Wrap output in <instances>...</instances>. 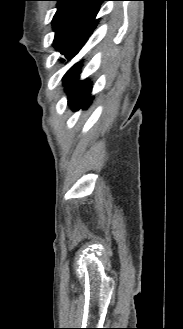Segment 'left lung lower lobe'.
I'll return each mask as SVG.
<instances>
[{
  "label": "left lung lower lobe",
  "instance_id": "0a47b994",
  "mask_svg": "<svg viewBox=\"0 0 183 329\" xmlns=\"http://www.w3.org/2000/svg\"><path fill=\"white\" fill-rule=\"evenodd\" d=\"M90 35L79 45L77 50L67 58L68 60L73 58L81 50ZM81 66V62L74 64L63 77V85L66 87V92L68 93V104L73 110H78L81 107L87 108L93 99L91 96L92 86L90 85L89 79L79 80Z\"/></svg>",
  "mask_w": 183,
  "mask_h": 329
}]
</instances>
